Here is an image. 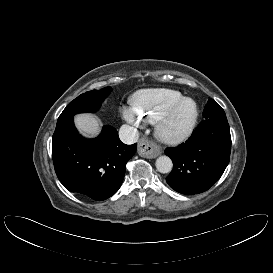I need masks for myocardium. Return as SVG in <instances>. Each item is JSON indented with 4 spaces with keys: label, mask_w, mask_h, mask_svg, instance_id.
I'll list each match as a JSON object with an SVG mask.
<instances>
[{
    "label": "myocardium",
    "mask_w": 273,
    "mask_h": 273,
    "mask_svg": "<svg viewBox=\"0 0 273 273\" xmlns=\"http://www.w3.org/2000/svg\"><path fill=\"white\" fill-rule=\"evenodd\" d=\"M191 103L193 105V114L189 119L187 125L176 132L169 131V124L176 114V112L185 104ZM199 117V109L197 103L191 98H182L176 103L172 104L156 121L155 134L157 138L166 144L177 145L188 139L193 133Z\"/></svg>",
    "instance_id": "myocardium-1"
}]
</instances>
